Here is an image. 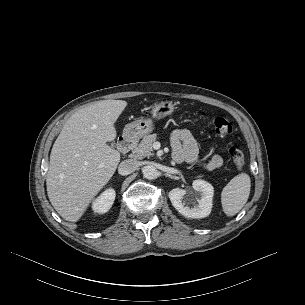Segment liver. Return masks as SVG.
Masks as SVG:
<instances>
[{"label":"liver","instance_id":"liver-1","mask_svg":"<svg viewBox=\"0 0 305 305\" xmlns=\"http://www.w3.org/2000/svg\"><path fill=\"white\" fill-rule=\"evenodd\" d=\"M124 100H104L75 112L64 124L50 154L46 185L58 214L77 222L111 179L120 153L107 145L116 138L115 122Z\"/></svg>","mask_w":305,"mask_h":305}]
</instances>
